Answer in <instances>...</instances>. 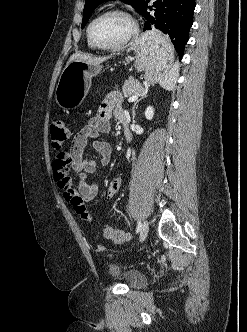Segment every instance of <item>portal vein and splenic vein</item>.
Listing matches in <instances>:
<instances>
[{"label":"portal vein and splenic vein","instance_id":"portal-vein-and-splenic-vein-1","mask_svg":"<svg viewBox=\"0 0 247 332\" xmlns=\"http://www.w3.org/2000/svg\"><path fill=\"white\" fill-rule=\"evenodd\" d=\"M138 97H139V94L133 95L128 99V102H134L138 99Z\"/></svg>","mask_w":247,"mask_h":332}]
</instances>
